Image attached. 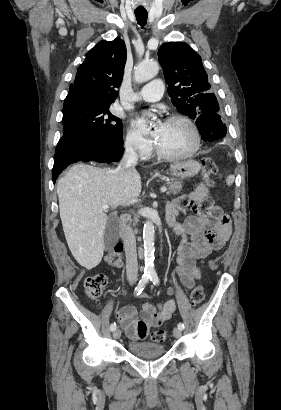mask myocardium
I'll return each mask as SVG.
<instances>
[{"mask_svg":"<svg viewBox=\"0 0 281 410\" xmlns=\"http://www.w3.org/2000/svg\"><path fill=\"white\" fill-rule=\"evenodd\" d=\"M167 121H181V122H184L185 124H187L193 131L194 145L187 152L178 153V154H171V153L165 152L163 149H161L159 147L157 142H155V151H156L157 155L160 156L163 159L177 160V159L189 158V157L193 156L194 154H196L198 152V150L200 149L201 142H202L201 133H200V130H199L198 126L196 125V123L191 118H189L188 116L183 115V114H173V115L168 117Z\"/></svg>","mask_w":281,"mask_h":410,"instance_id":"1","label":"myocardium"}]
</instances>
